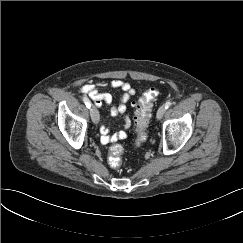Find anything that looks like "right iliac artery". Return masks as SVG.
Wrapping results in <instances>:
<instances>
[{
	"instance_id": "1",
	"label": "right iliac artery",
	"mask_w": 243,
	"mask_h": 243,
	"mask_svg": "<svg viewBox=\"0 0 243 243\" xmlns=\"http://www.w3.org/2000/svg\"><path fill=\"white\" fill-rule=\"evenodd\" d=\"M83 102L85 103V105L90 108L91 107V103L89 101V99L87 97H83Z\"/></svg>"
}]
</instances>
